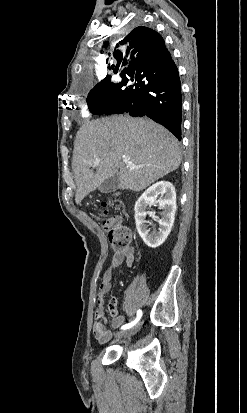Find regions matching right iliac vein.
Returning <instances> with one entry per match:
<instances>
[{
  "label": "right iliac vein",
  "mask_w": 247,
  "mask_h": 413,
  "mask_svg": "<svg viewBox=\"0 0 247 413\" xmlns=\"http://www.w3.org/2000/svg\"><path fill=\"white\" fill-rule=\"evenodd\" d=\"M141 325H142V322L140 321L137 325H135L134 327L128 330L118 332L116 334V337L117 338H129L138 332V330L141 328Z\"/></svg>",
  "instance_id": "right-iliac-vein-1"
}]
</instances>
